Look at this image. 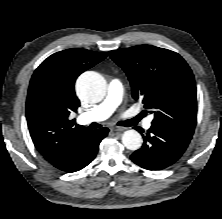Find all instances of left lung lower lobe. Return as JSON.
I'll return each mask as SVG.
<instances>
[{"label":"left lung lower lobe","instance_id":"1","mask_svg":"<svg viewBox=\"0 0 222 219\" xmlns=\"http://www.w3.org/2000/svg\"><path fill=\"white\" fill-rule=\"evenodd\" d=\"M136 129L143 132L140 127ZM143 137V146L131 155V160L147 170H161L175 163L191 140L171 129L153 125Z\"/></svg>","mask_w":222,"mask_h":219}]
</instances>
